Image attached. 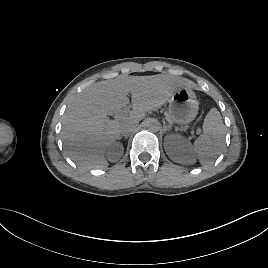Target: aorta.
<instances>
[{"label":"aorta","instance_id":"aorta-1","mask_svg":"<svg viewBox=\"0 0 268 268\" xmlns=\"http://www.w3.org/2000/svg\"><path fill=\"white\" fill-rule=\"evenodd\" d=\"M146 127L151 132H158L160 130V122L155 118H149L146 121Z\"/></svg>","mask_w":268,"mask_h":268}]
</instances>
